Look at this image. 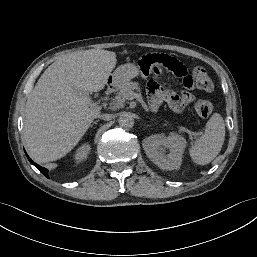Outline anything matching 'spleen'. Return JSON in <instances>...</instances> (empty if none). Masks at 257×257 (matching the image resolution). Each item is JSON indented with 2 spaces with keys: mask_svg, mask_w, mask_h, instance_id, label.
<instances>
[{
  "mask_svg": "<svg viewBox=\"0 0 257 257\" xmlns=\"http://www.w3.org/2000/svg\"><path fill=\"white\" fill-rule=\"evenodd\" d=\"M224 140V120L220 114L214 113L206 123L204 133L191 146V158L199 165L210 163L221 151Z\"/></svg>",
  "mask_w": 257,
  "mask_h": 257,
  "instance_id": "obj_1",
  "label": "spleen"
}]
</instances>
